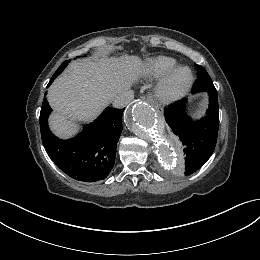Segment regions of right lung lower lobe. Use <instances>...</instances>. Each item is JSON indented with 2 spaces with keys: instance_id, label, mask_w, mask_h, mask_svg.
Wrapping results in <instances>:
<instances>
[{
  "instance_id": "98d812e1",
  "label": "right lung lower lobe",
  "mask_w": 260,
  "mask_h": 260,
  "mask_svg": "<svg viewBox=\"0 0 260 260\" xmlns=\"http://www.w3.org/2000/svg\"><path fill=\"white\" fill-rule=\"evenodd\" d=\"M55 78L53 75L48 86ZM123 111L108 107L75 138L61 140L48 128L51 107L45 99L39 120L42 142L47 154L73 179L84 182L105 179L115 163L117 142L122 131Z\"/></svg>"
}]
</instances>
